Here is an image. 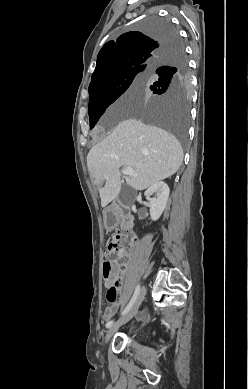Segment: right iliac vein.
Returning a JSON list of instances; mask_svg holds the SVG:
<instances>
[{
    "label": "right iliac vein",
    "mask_w": 248,
    "mask_h": 389,
    "mask_svg": "<svg viewBox=\"0 0 248 389\" xmlns=\"http://www.w3.org/2000/svg\"><path fill=\"white\" fill-rule=\"evenodd\" d=\"M145 296V288L142 287L139 291V294L137 296V299L131 309L123 316L121 317L118 321H116L107 331L106 336H105V343L107 344L108 341L111 339V337L114 335V333L121 327L123 324L127 323L130 321L135 314L137 313L141 303L144 300Z\"/></svg>",
    "instance_id": "obj_1"
}]
</instances>
